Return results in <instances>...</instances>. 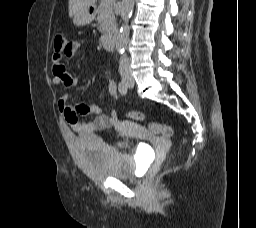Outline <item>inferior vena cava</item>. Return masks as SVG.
<instances>
[{
    "mask_svg": "<svg viewBox=\"0 0 256 228\" xmlns=\"http://www.w3.org/2000/svg\"><path fill=\"white\" fill-rule=\"evenodd\" d=\"M131 71L130 69V63H129V59L127 57L126 54H124L119 61V72L122 75H126L129 74Z\"/></svg>",
    "mask_w": 256,
    "mask_h": 228,
    "instance_id": "1",
    "label": "inferior vena cava"
}]
</instances>
